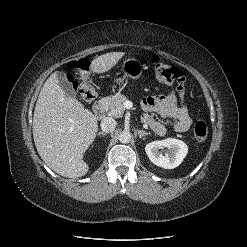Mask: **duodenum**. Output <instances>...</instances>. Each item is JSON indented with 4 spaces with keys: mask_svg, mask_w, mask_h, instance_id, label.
Returning <instances> with one entry per match:
<instances>
[{
    "mask_svg": "<svg viewBox=\"0 0 247 247\" xmlns=\"http://www.w3.org/2000/svg\"><path fill=\"white\" fill-rule=\"evenodd\" d=\"M93 111L97 118H102L105 114V102L102 98L97 99L93 105Z\"/></svg>",
    "mask_w": 247,
    "mask_h": 247,
    "instance_id": "1",
    "label": "duodenum"
}]
</instances>
